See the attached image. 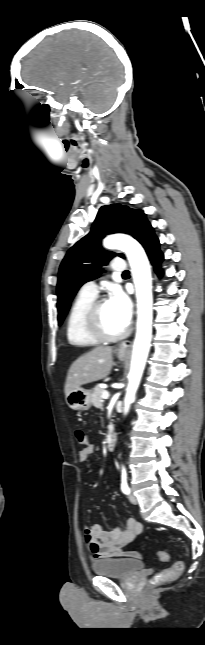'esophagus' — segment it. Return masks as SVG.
Segmentation results:
<instances>
[{
  "mask_svg": "<svg viewBox=\"0 0 205 645\" xmlns=\"http://www.w3.org/2000/svg\"><path fill=\"white\" fill-rule=\"evenodd\" d=\"M130 346H131L130 341H123V342L120 344V346H119V348H118V350H117V351H118V353H120V354H125V353H127V352H128V350H129Z\"/></svg>",
  "mask_w": 205,
  "mask_h": 645,
  "instance_id": "esophagus-1",
  "label": "esophagus"
}]
</instances>
